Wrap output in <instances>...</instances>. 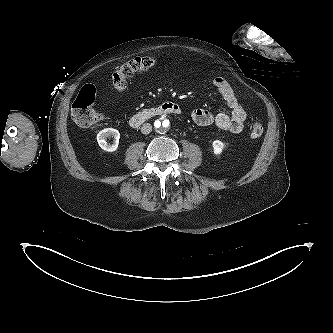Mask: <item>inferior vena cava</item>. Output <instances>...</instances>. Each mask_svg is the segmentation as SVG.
I'll use <instances>...</instances> for the list:
<instances>
[{"label":"inferior vena cava","mask_w":333,"mask_h":333,"mask_svg":"<svg viewBox=\"0 0 333 333\" xmlns=\"http://www.w3.org/2000/svg\"><path fill=\"white\" fill-rule=\"evenodd\" d=\"M152 131V126L149 123H144L141 127V132L143 134H149Z\"/></svg>","instance_id":"602c4592"}]
</instances>
